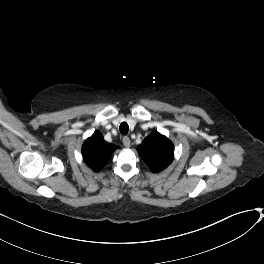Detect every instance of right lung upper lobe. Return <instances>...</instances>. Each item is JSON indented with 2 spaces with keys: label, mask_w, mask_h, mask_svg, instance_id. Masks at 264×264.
Returning <instances> with one entry per match:
<instances>
[{
  "label": "right lung upper lobe",
  "mask_w": 264,
  "mask_h": 264,
  "mask_svg": "<svg viewBox=\"0 0 264 264\" xmlns=\"http://www.w3.org/2000/svg\"><path fill=\"white\" fill-rule=\"evenodd\" d=\"M115 149V146L104 140L100 132L95 131L91 137L85 140L82 146V155L86 164L97 172L110 160Z\"/></svg>",
  "instance_id": "cb5924a9"
}]
</instances>
